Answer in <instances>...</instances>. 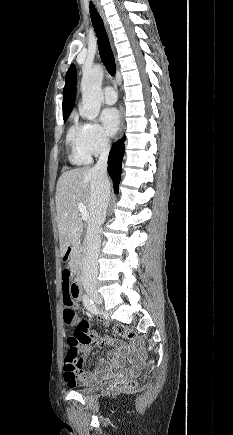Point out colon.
Here are the masks:
<instances>
[{
	"label": "colon",
	"mask_w": 233,
	"mask_h": 435,
	"mask_svg": "<svg viewBox=\"0 0 233 435\" xmlns=\"http://www.w3.org/2000/svg\"><path fill=\"white\" fill-rule=\"evenodd\" d=\"M70 278H71L70 271L68 269H64L61 274L62 281L65 284H67L70 281ZM63 303L65 305L64 322L66 326L69 328L77 327L79 318H78L77 311L75 309L74 296L66 293L63 298ZM113 330L115 334H117L118 336L126 340H133L136 337V332L134 330L122 325H116ZM79 340L80 338L74 336H70L68 338L67 340L68 350L65 357V359L68 362H72L76 364H80L83 362L78 349ZM134 386H135L134 381H128L124 385L112 384L108 387V391L112 393L121 392V391L129 390Z\"/></svg>",
	"instance_id": "obj_1"
}]
</instances>
